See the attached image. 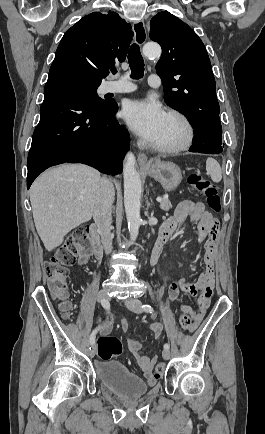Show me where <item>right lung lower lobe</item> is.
Instances as JSON below:
<instances>
[{
  "mask_svg": "<svg viewBox=\"0 0 265 434\" xmlns=\"http://www.w3.org/2000/svg\"><path fill=\"white\" fill-rule=\"evenodd\" d=\"M117 110L116 102L101 108L91 105L79 86L47 82L28 154L27 188L45 169L65 162L119 175L129 136L115 119Z\"/></svg>",
  "mask_w": 265,
  "mask_h": 434,
  "instance_id": "obj_1",
  "label": "right lung lower lobe"
}]
</instances>
